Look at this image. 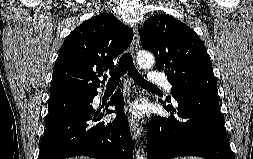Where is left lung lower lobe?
Instances as JSON below:
<instances>
[{
    "label": "left lung lower lobe",
    "instance_id": "left-lung-lower-lobe-1",
    "mask_svg": "<svg viewBox=\"0 0 253 159\" xmlns=\"http://www.w3.org/2000/svg\"><path fill=\"white\" fill-rule=\"evenodd\" d=\"M177 110L170 117L156 116L147 128V158L170 159L199 156L206 159H235L219 107L217 94L184 93L174 97Z\"/></svg>",
    "mask_w": 253,
    "mask_h": 159
}]
</instances>
